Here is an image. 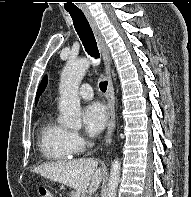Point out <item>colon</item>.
Wrapping results in <instances>:
<instances>
[{
  "label": "colon",
  "instance_id": "obj_1",
  "mask_svg": "<svg viewBox=\"0 0 191 197\" xmlns=\"http://www.w3.org/2000/svg\"><path fill=\"white\" fill-rule=\"evenodd\" d=\"M38 192L40 197H54L51 191L44 186H40Z\"/></svg>",
  "mask_w": 191,
  "mask_h": 197
}]
</instances>
